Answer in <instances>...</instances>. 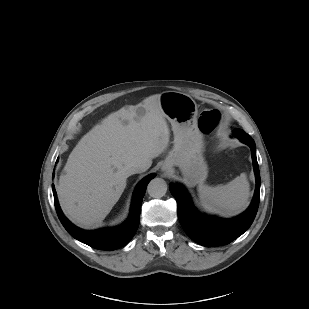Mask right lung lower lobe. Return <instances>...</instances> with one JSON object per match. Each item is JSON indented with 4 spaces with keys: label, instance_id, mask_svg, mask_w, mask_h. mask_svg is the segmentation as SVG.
Listing matches in <instances>:
<instances>
[{
    "label": "right lung lower lobe",
    "instance_id": "1",
    "mask_svg": "<svg viewBox=\"0 0 309 309\" xmlns=\"http://www.w3.org/2000/svg\"><path fill=\"white\" fill-rule=\"evenodd\" d=\"M58 162V159L56 163ZM54 175L52 176V178ZM155 177V174H150L144 178L137 186L132 201L131 211L129 218L125 223L116 228L99 229L94 231H84L74 226L68 219L63 215L55 191L54 184H52V190L54 195V203L57 215L68 231V233L75 239L82 243L89 245L95 249L100 250H115L127 244L134 236L140 220V208L143 196L146 191V186L151 179Z\"/></svg>",
    "mask_w": 309,
    "mask_h": 309
}]
</instances>
